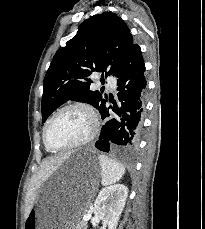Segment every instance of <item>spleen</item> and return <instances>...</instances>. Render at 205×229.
<instances>
[{"label": "spleen", "instance_id": "3e777b00", "mask_svg": "<svg viewBox=\"0 0 205 229\" xmlns=\"http://www.w3.org/2000/svg\"><path fill=\"white\" fill-rule=\"evenodd\" d=\"M99 163L101 166V183L103 186L119 181L125 174V168L107 156L100 155Z\"/></svg>", "mask_w": 205, "mask_h": 229}]
</instances>
